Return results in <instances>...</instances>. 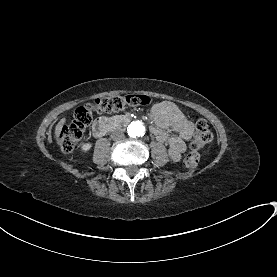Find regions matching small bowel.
<instances>
[{"mask_svg": "<svg viewBox=\"0 0 277 277\" xmlns=\"http://www.w3.org/2000/svg\"><path fill=\"white\" fill-rule=\"evenodd\" d=\"M154 122L152 134L162 144L168 147L169 156L179 161L186 150V141L194 134V124L171 101L155 104L149 111Z\"/></svg>", "mask_w": 277, "mask_h": 277, "instance_id": "c3829d8e", "label": "small bowel"}]
</instances>
